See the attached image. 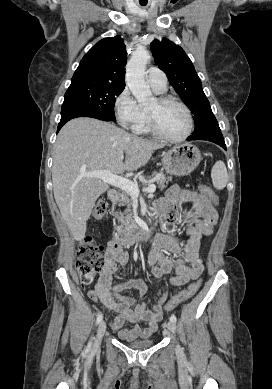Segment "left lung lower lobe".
Here are the masks:
<instances>
[{
    "label": "left lung lower lobe",
    "instance_id": "1",
    "mask_svg": "<svg viewBox=\"0 0 272 389\" xmlns=\"http://www.w3.org/2000/svg\"><path fill=\"white\" fill-rule=\"evenodd\" d=\"M191 140H207L218 144L226 150V145L223 139V135L219 128L218 122L210 124L208 127L204 128L197 134H192L188 139Z\"/></svg>",
    "mask_w": 272,
    "mask_h": 389
}]
</instances>
